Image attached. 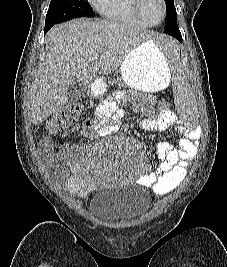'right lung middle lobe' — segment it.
Instances as JSON below:
<instances>
[{
    "label": "right lung middle lobe",
    "instance_id": "1",
    "mask_svg": "<svg viewBox=\"0 0 227 267\" xmlns=\"http://www.w3.org/2000/svg\"><path fill=\"white\" fill-rule=\"evenodd\" d=\"M79 17H94L88 0H51L45 25H54Z\"/></svg>",
    "mask_w": 227,
    "mask_h": 267
}]
</instances>
